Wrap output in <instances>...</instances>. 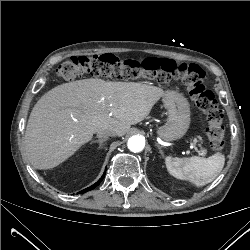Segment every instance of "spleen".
Listing matches in <instances>:
<instances>
[{
    "label": "spleen",
    "mask_w": 250,
    "mask_h": 250,
    "mask_svg": "<svg viewBox=\"0 0 250 250\" xmlns=\"http://www.w3.org/2000/svg\"><path fill=\"white\" fill-rule=\"evenodd\" d=\"M165 163L172 176L181 180H189L197 187H201L212 182L218 176L224 167L225 157L221 153H215L208 158L167 156Z\"/></svg>",
    "instance_id": "1"
}]
</instances>
